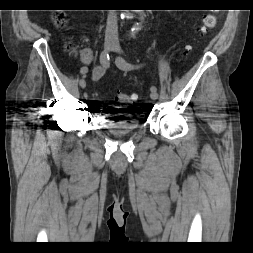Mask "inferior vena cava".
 Here are the masks:
<instances>
[{
	"label": "inferior vena cava",
	"mask_w": 253,
	"mask_h": 253,
	"mask_svg": "<svg viewBox=\"0 0 253 253\" xmlns=\"http://www.w3.org/2000/svg\"><path fill=\"white\" fill-rule=\"evenodd\" d=\"M118 34V22L115 10H109L107 26L105 31L106 39H116Z\"/></svg>",
	"instance_id": "1"
}]
</instances>
